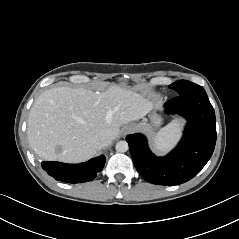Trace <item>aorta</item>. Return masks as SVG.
Listing matches in <instances>:
<instances>
[{"mask_svg": "<svg viewBox=\"0 0 239 239\" xmlns=\"http://www.w3.org/2000/svg\"><path fill=\"white\" fill-rule=\"evenodd\" d=\"M115 148H116L117 152L124 153L128 150L129 146H128V143L126 141H119L116 144Z\"/></svg>", "mask_w": 239, "mask_h": 239, "instance_id": "aorta-1", "label": "aorta"}]
</instances>
